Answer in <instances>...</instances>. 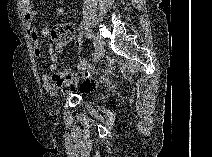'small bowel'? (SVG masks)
Returning <instances> with one entry per match:
<instances>
[{
	"label": "small bowel",
	"mask_w": 212,
	"mask_h": 157,
	"mask_svg": "<svg viewBox=\"0 0 212 157\" xmlns=\"http://www.w3.org/2000/svg\"><path fill=\"white\" fill-rule=\"evenodd\" d=\"M21 9L23 14L24 25L27 28L30 38L34 44L33 55L35 58H40L43 54V50L41 48L40 39L41 37L47 38L50 34L49 27H43L40 32L32 26V22L36 18V11L33 8V5L30 0L21 1ZM55 16L62 17L65 13V10L62 6H57L54 10ZM76 46L78 49L82 48V42L77 41ZM50 60L52 63L57 62V55L53 45H49L47 50ZM42 82L44 89L51 95H54L57 91V87L54 86L51 80V76L49 74L42 75Z\"/></svg>",
	"instance_id": "c3829d8e"
}]
</instances>
